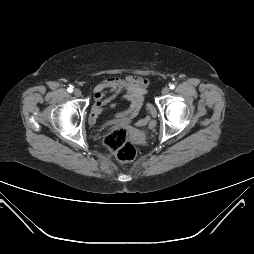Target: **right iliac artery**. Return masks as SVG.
<instances>
[{"label":"right iliac artery","instance_id":"obj_1","mask_svg":"<svg viewBox=\"0 0 254 254\" xmlns=\"http://www.w3.org/2000/svg\"><path fill=\"white\" fill-rule=\"evenodd\" d=\"M67 91H68L69 93H71V92L73 91V88H72V87H69V88L67 89Z\"/></svg>","mask_w":254,"mask_h":254}]
</instances>
